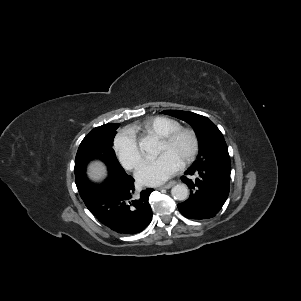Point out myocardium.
Listing matches in <instances>:
<instances>
[{"instance_id":"f54148a6","label":"myocardium","mask_w":301,"mask_h":301,"mask_svg":"<svg viewBox=\"0 0 301 301\" xmlns=\"http://www.w3.org/2000/svg\"><path fill=\"white\" fill-rule=\"evenodd\" d=\"M183 136H188L191 140V150L181 162V165L185 166L193 162L199 153L200 143L196 131L192 128H179L160 139L168 145H173Z\"/></svg>"}]
</instances>
